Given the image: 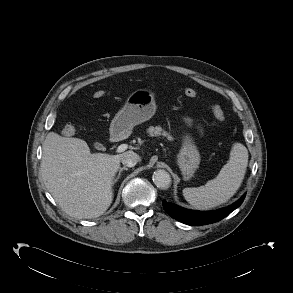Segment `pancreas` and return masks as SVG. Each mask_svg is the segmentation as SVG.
<instances>
[{
    "instance_id": "pancreas-1",
    "label": "pancreas",
    "mask_w": 293,
    "mask_h": 293,
    "mask_svg": "<svg viewBox=\"0 0 293 293\" xmlns=\"http://www.w3.org/2000/svg\"><path fill=\"white\" fill-rule=\"evenodd\" d=\"M148 134L150 136H160V135H163V136H167V138L169 140H173V137L170 136L166 131H164L160 126H150L147 130Z\"/></svg>"
}]
</instances>
